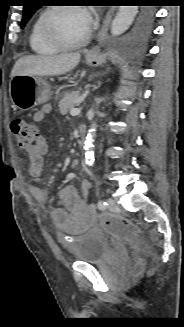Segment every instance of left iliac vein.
I'll list each match as a JSON object with an SVG mask.
<instances>
[{
  "mask_svg": "<svg viewBox=\"0 0 184 327\" xmlns=\"http://www.w3.org/2000/svg\"><path fill=\"white\" fill-rule=\"evenodd\" d=\"M107 203H108V208L111 210V211H117L119 209L116 201L112 198H108L107 199Z\"/></svg>",
  "mask_w": 184,
  "mask_h": 327,
  "instance_id": "obj_1",
  "label": "left iliac vein"
}]
</instances>
